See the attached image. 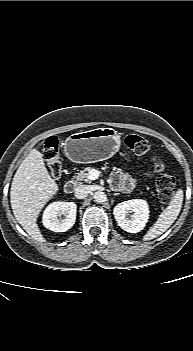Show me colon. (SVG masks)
<instances>
[{"label":"colon","mask_w":193,"mask_h":351,"mask_svg":"<svg viewBox=\"0 0 193 351\" xmlns=\"http://www.w3.org/2000/svg\"><path fill=\"white\" fill-rule=\"evenodd\" d=\"M125 144L135 155H149L158 173L156 179L157 194L162 202L171 200L175 193V179L167 172L166 164L157 151L152 149L150 142L139 135L130 134L126 136ZM42 156L48 165L52 180L58 182L62 175V168L59 157V141L56 137L52 136L46 140Z\"/></svg>","instance_id":"obj_1"}]
</instances>
